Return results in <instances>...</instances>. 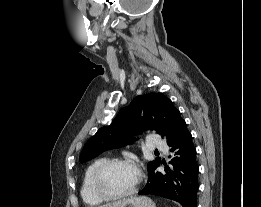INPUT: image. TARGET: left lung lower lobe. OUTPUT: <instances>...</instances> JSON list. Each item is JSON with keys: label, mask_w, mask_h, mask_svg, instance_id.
<instances>
[{"label": "left lung lower lobe", "mask_w": 261, "mask_h": 207, "mask_svg": "<svg viewBox=\"0 0 261 207\" xmlns=\"http://www.w3.org/2000/svg\"><path fill=\"white\" fill-rule=\"evenodd\" d=\"M173 158L164 172H156L160 163L149 172L146 186L139 195H155L179 202L183 207H197L199 167L196 149L184 120L178 126L170 143ZM163 164L165 162L162 161Z\"/></svg>", "instance_id": "obj_1"}]
</instances>
